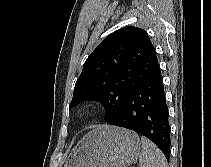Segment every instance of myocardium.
Here are the masks:
<instances>
[{"label":"myocardium","mask_w":211,"mask_h":167,"mask_svg":"<svg viewBox=\"0 0 211 167\" xmlns=\"http://www.w3.org/2000/svg\"><path fill=\"white\" fill-rule=\"evenodd\" d=\"M89 114H90V109L83 108L82 110H80L78 116H79V118L83 119V118H86Z\"/></svg>","instance_id":"myocardium-1"}]
</instances>
